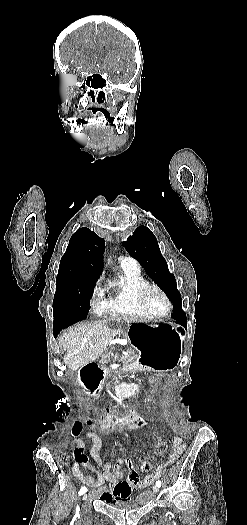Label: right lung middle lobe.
<instances>
[{
	"mask_svg": "<svg viewBox=\"0 0 247 525\" xmlns=\"http://www.w3.org/2000/svg\"><path fill=\"white\" fill-rule=\"evenodd\" d=\"M98 277L88 272H58L53 300V326H69L87 317L92 288Z\"/></svg>",
	"mask_w": 247,
	"mask_h": 525,
	"instance_id": "obj_1",
	"label": "right lung middle lobe"
}]
</instances>
